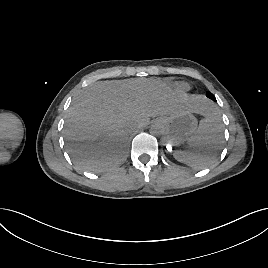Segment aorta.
I'll return each mask as SVG.
<instances>
[{
  "label": "aorta",
  "instance_id": "1",
  "mask_svg": "<svg viewBox=\"0 0 268 268\" xmlns=\"http://www.w3.org/2000/svg\"><path fill=\"white\" fill-rule=\"evenodd\" d=\"M150 133L152 135H159L162 133V129L158 125H153L150 128Z\"/></svg>",
  "mask_w": 268,
  "mask_h": 268
}]
</instances>
